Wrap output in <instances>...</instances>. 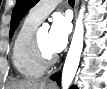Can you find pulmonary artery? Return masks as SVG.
I'll use <instances>...</instances> for the list:
<instances>
[{
	"label": "pulmonary artery",
	"mask_w": 107,
	"mask_h": 89,
	"mask_svg": "<svg viewBox=\"0 0 107 89\" xmlns=\"http://www.w3.org/2000/svg\"><path fill=\"white\" fill-rule=\"evenodd\" d=\"M60 0H42L38 2L30 11L29 16L41 22L57 6Z\"/></svg>",
	"instance_id": "1"
}]
</instances>
